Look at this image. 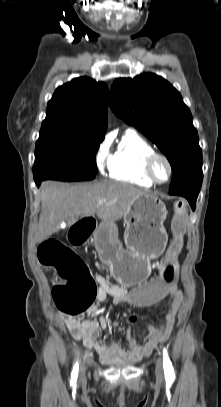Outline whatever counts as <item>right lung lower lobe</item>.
Wrapping results in <instances>:
<instances>
[{
	"label": "right lung lower lobe",
	"mask_w": 221,
	"mask_h": 407,
	"mask_svg": "<svg viewBox=\"0 0 221 407\" xmlns=\"http://www.w3.org/2000/svg\"><path fill=\"white\" fill-rule=\"evenodd\" d=\"M34 180H35L36 185L39 187L42 180H40V179H34Z\"/></svg>",
	"instance_id": "98d812e1"
}]
</instances>
